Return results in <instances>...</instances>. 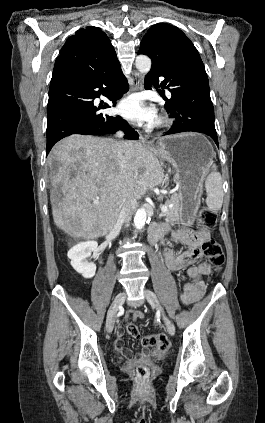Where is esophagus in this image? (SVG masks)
Here are the masks:
<instances>
[{"instance_id":"1","label":"esophagus","mask_w":265,"mask_h":423,"mask_svg":"<svg viewBox=\"0 0 265 423\" xmlns=\"http://www.w3.org/2000/svg\"><path fill=\"white\" fill-rule=\"evenodd\" d=\"M143 87V77L140 73L135 72L133 75V86H132V91H137L142 89ZM141 141L147 145H149L151 143V141H149L146 137L141 136Z\"/></svg>"}]
</instances>
